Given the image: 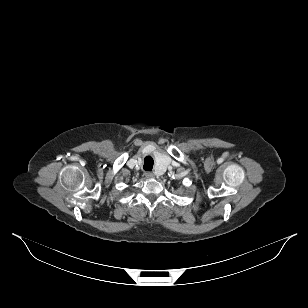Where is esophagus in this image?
<instances>
[{
  "mask_svg": "<svg viewBox=\"0 0 308 308\" xmlns=\"http://www.w3.org/2000/svg\"><path fill=\"white\" fill-rule=\"evenodd\" d=\"M145 176H146L147 178H153V177H154V174H153L152 172H150V171H147V172H145Z\"/></svg>",
  "mask_w": 308,
  "mask_h": 308,
  "instance_id": "esophagus-1",
  "label": "esophagus"
}]
</instances>
